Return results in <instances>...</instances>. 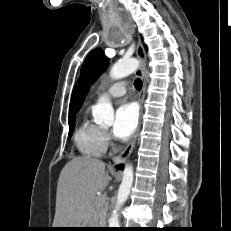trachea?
<instances>
[{
	"instance_id": "obj_1",
	"label": "trachea",
	"mask_w": 231,
	"mask_h": 231,
	"mask_svg": "<svg viewBox=\"0 0 231 231\" xmlns=\"http://www.w3.org/2000/svg\"><path fill=\"white\" fill-rule=\"evenodd\" d=\"M134 86H135V88L137 89V90H141V88H142V81H141V79H136L135 81H134Z\"/></svg>"
}]
</instances>
